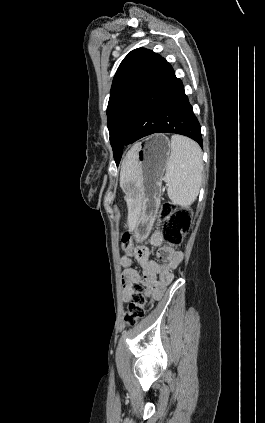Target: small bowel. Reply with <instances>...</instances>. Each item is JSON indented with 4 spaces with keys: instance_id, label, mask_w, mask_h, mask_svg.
Segmentation results:
<instances>
[{
    "instance_id": "small-bowel-1",
    "label": "small bowel",
    "mask_w": 265,
    "mask_h": 423,
    "mask_svg": "<svg viewBox=\"0 0 265 423\" xmlns=\"http://www.w3.org/2000/svg\"><path fill=\"white\" fill-rule=\"evenodd\" d=\"M162 241V234L159 231L151 234V245L158 247L162 244ZM149 254V249L144 246L132 248L129 253L123 254L121 258L123 266L121 286L124 301L130 300L134 285L144 286V294L152 300L160 299L167 285L173 280V271L183 260V253L172 249L159 252L160 261L150 260ZM133 258L139 263L142 274L133 266Z\"/></svg>"
}]
</instances>
